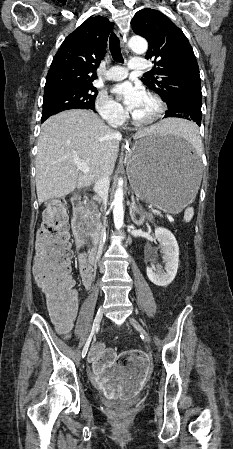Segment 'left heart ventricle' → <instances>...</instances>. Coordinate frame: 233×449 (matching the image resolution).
<instances>
[{
    "label": "left heart ventricle",
    "instance_id": "obj_1",
    "mask_svg": "<svg viewBox=\"0 0 233 449\" xmlns=\"http://www.w3.org/2000/svg\"><path fill=\"white\" fill-rule=\"evenodd\" d=\"M156 112V105L148 96L144 98L138 110L134 114L140 120H146L152 117Z\"/></svg>",
    "mask_w": 233,
    "mask_h": 449
}]
</instances>
